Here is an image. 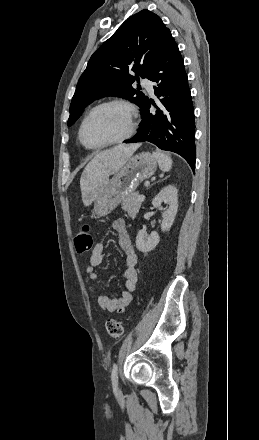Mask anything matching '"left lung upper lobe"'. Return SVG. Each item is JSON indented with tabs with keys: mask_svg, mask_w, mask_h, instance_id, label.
<instances>
[{
	"mask_svg": "<svg viewBox=\"0 0 259 440\" xmlns=\"http://www.w3.org/2000/svg\"><path fill=\"white\" fill-rule=\"evenodd\" d=\"M169 34L160 17L149 10L128 18L91 56L72 98L68 126L87 105L105 96L123 97L143 110L149 99L135 90L132 83L139 81V76L149 78ZM132 71L136 76L130 74Z\"/></svg>",
	"mask_w": 259,
	"mask_h": 440,
	"instance_id": "5c2ea615",
	"label": "left lung upper lobe"
}]
</instances>
